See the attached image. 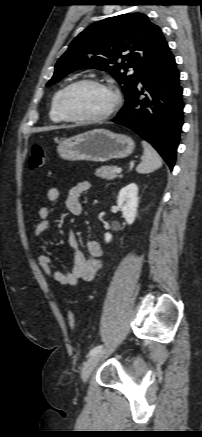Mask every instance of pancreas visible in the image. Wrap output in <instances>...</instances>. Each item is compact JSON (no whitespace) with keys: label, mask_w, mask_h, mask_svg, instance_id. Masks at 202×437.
Instances as JSON below:
<instances>
[{"label":"pancreas","mask_w":202,"mask_h":437,"mask_svg":"<svg viewBox=\"0 0 202 437\" xmlns=\"http://www.w3.org/2000/svg\"><path fill=\"white\" fill-rule=\"evenodd\" d=\"M116 169V166H102L96 170L95 175L102 179L113 180L117 178Z\"/></svg>","instance_id":"cf45deb5"}]
</instances>
